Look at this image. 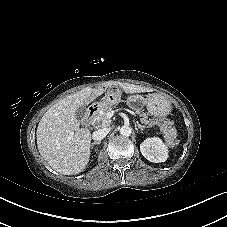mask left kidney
<instances>
[{
    "label": "left kidney",
    "mask_w": 227,
    "mask_h": 227,
    "mask_svg": "<svg viewBox=\"0 0 227 227\" xmlns=\"http://www.w3.org/2000/svg\"><path fill=\"white\" fill-rule=\"evenodd\" d=\"M140 151L150 162L160 163L168 158V145L158 137L145 139L140 144Z\"/></svg>",
    "instance_id": "left-kidney-1"
}]
</instances>
